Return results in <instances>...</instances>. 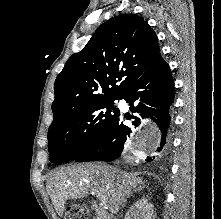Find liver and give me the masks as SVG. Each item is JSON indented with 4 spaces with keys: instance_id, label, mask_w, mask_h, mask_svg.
I'll return each instance as SVG.
<instances>
[{
    "instance_id": "6515ba94",
    "label": "liver",
    "mask_w": 221,
    "mask_h": 219,
    "mask_svg": "<svg viewBox=\"0 0 221 219\" xmlns=\"http://www.w3.org/2000/svg\"><path fill=\"white\" fill-rule=\"evenodd\" d=\"M143 185L137 174L102 163H85L54 171L47 182V192L60 216L67 200L84 198L89 191H94L110 213L116 214L126 198Z\"/></svg>"
}]
</instances>
